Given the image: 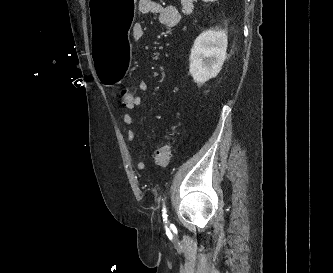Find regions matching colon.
Returning a JSON list of instances; mask_svg holds the SVG:
<instances>
[{
  "mask_svg": "<svg viewBox=\"0 0 333 273\" xmlns=\"http://www.w3.org/2000/svg\"><path fill=\"white\" fill-rule=\"evenodd\" d=\"M121 102L124 108L138 107L137 96L127 89H122L120 92ZM154 161L157 165L164 167L167 166L171 158V145L169 143L159 146L153 155Z\"/></svg>",
  "mask_w": 333,
  "mask_h": 273,
  "instance_id": "5ec220e1",
  "label": "colon"
}]
</instances>
